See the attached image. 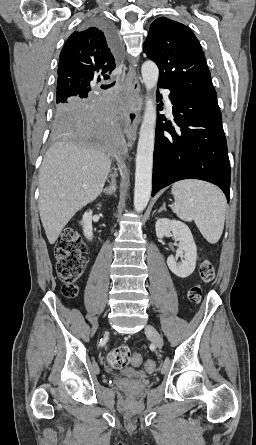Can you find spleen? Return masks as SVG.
Segmentation results:
<instances>
[{"instance_id": "1", "label": "spleen", "mask_w": 256, "mask_h": 445, "mask_svg": "<svg viewBox=\"0 0 256 445\" xmlns=\"http://www.w3.org/2000/svg\"><path fill=\"white\" fill-rule=\"evenodd\" d=\"M174 211L184 221H193L212 244L219 241L225 222L226 198L222 191L200 180H182L172 186Z\"/></svg>"}]
</instances>
